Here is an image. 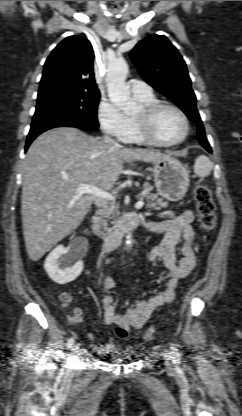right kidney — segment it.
Here are the masks:
<instances>
[{
  "mask_svg": "<svg viewBox=\"0 0 242 416\" xmlns=\"http://www.w3.org/2000/svg\"><path fill=\"white\" fill-rule=\"evenodd\" d=\"M74 247H55L47 256L44 268L49 277L58 284H67L75 280L83 270V261L76 260Z\"/></svg>",
  "mask_w": 242,
  "mask_h": 416,
  "instance_id": "right-kidney-1",
  "label": "right kidney"
}]
</instances>
